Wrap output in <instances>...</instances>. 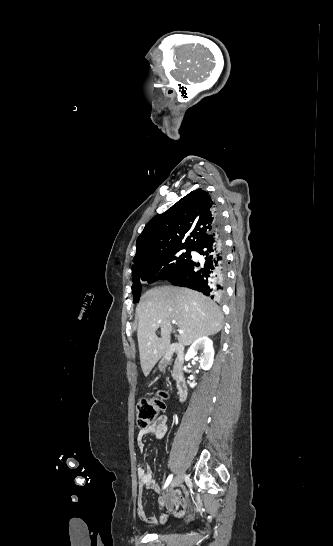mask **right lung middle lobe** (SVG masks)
<instances>
[{
	"label": "right lung middle lobe",
	"instance_id": "1",
	"mask_svg": "<svg viewBox=\"0 0 333 546\" xmlns=\"http://www.w3.org/2000/svg\"><path fill=\"white\" fill-rule=\"evenodd\" d=\"M183 249H185L186 252H184ZM192 250L193 247H183L167 251L159 256V258L152 264L151 268L132 274L134 303L138 302L140 298L141 280L151 283L156 280L167 279L191 258L190 252Z\"/></svg>",
	"mask_w": 333,
	"mask_h": 546
}]
</instances>
